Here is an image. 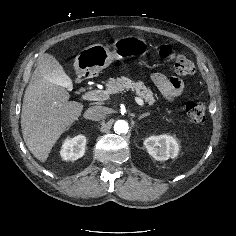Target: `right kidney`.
I'll list each match as a JSON object with an SVG mask.
<instances>
[{
    "mask_svg": "<svg viewBox=\"0 0 236 236\" xmlns=\"http://www.w3.org/2000/svg\"><path fill=\"white\" fill-rule=\"evenodd\" d=\"M86 137L78 135L74 138H68L63 142L60 155L63 160H77L85 153Z\"/></svg>",
    "mask_w": 236,
    "mask_h": 236,
    "instance_id": "right-kidney-1",
    "label": "right kidney"
}]
</instances>
